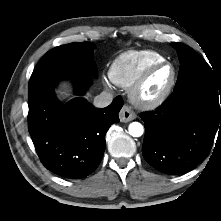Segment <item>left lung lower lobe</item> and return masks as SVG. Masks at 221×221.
<instances>
[{
  "instance_id": "obj_1",
  "label": "left lung lower lobe",
  "mask_w": 221,
  "mask_h": 221,
  "mask_svg": "<svg viewBox=\"0 0 221 221\" xmlns=\"http://www.w3.org/2000/svg\"><path fill=\"white\" fill-rule=\"evenodd\" d=\"M140 117L146 128L143 156L168 175L195 168L208 156L218 130L221 136L219 98L201 87L174 90L161 107Z\"/></svg>"
}]
</instances>
